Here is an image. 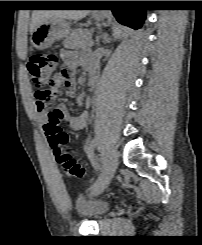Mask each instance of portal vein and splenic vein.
Wrapping results in <instances>:
<instances>
[{"label": "portal vein and splenic vein", "mask_w": 202, "mask_h": 245, "mask_svg": "<svg viewBox=\"0 0 202 245\" xmlns=\"http://www.w3.org/2000/svg\"><path fill=\"white\" fill-rule=\"evenodd\" d=\"M89 45H90V46L93 45V41H92V40L89 42Z\"/></svg>", "instance_id": "1"}]
</instances>
